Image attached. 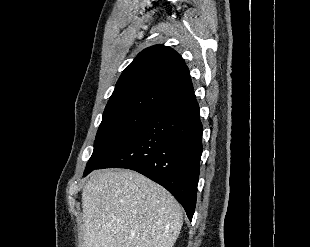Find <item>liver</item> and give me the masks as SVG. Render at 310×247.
Wrapping results in <instances>:
<instances>
[{"instance_id":"obj_1","label":"liver","mask_w":310,"mask_h":247,"mask_svg":"<svg viewBox=\"0 0 310 247\" xmlns=\"http://www.w3.org/2000/svg\"><path fill=\"white\" fill-rule=\"evenodd\" d=\"M82 208L83 247H173L183 224L177 200L131 170L94 172Z\"/></svg>"}]
</instances>
